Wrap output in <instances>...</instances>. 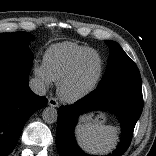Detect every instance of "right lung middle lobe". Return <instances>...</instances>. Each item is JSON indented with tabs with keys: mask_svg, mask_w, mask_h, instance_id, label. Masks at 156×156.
<instances>
[{
	"mask_svg": "<svg viewBox=\"0 0 156 156\" xmlns=\"http://www.w3.org/2000/svg\"><path fill=\"white\" fill-rule=\"evenodd\" d=\"M34 39L29 33H0V61L31 67L33 56L28 49Z\"/></svg>",
	"mask_w": 156,
	"mask_h": 156,
	"instance_id": "right-lung-middle-lobe-1",
	"label": "right lung middle lobe"
}]
</instances>
